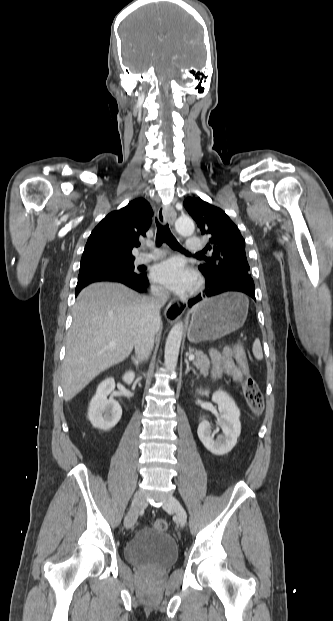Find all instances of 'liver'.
I'll return each mask as SVG.
<instances>
[{
    "instance_id": "obj_1",
    "label": "liver",
    "mask_w": 333,
    "mask_h": 621,
    "mask_svg": "<svg viewBox=\"0 0 333 621\" xmlns=\"http://www.w3.org/2000/svg\"><path fill=\"white\" fill-rule=\"evenodd\" d=\"M143 300L127 287L108 282L91 284L79 293L62 364L65 401L131 354L146 316Z\"/></svg>"
}]
</instances>
